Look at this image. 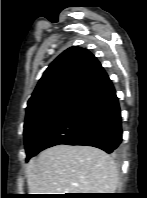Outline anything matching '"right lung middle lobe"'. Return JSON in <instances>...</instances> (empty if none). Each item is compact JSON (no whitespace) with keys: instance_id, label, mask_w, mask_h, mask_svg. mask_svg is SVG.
<instances>
[{"instance_id":"1","label":"right lung middle lobe","mask_w":147,"mask_h":198,"mask_svg":"<svg viewBox=\"0 0 147 198\" xmlns=\"http://www.w3.org/2000/svg\"><path fill=\"white\" fill-rule=\"evenodd\" d=\"M74 104L72 102L51 103L26 114L24 124L26 160H29L35 155L36 148L40 142L59 123Z\"/></svg>"}]
</instances>
